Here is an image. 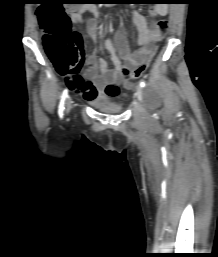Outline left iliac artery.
<instances>
[{"label":"left iliac artery","instance_id":"1","mask_svg":"<svg viewBox=\"0 0 218 257\" xmlns=\"http://www.w3.org/2000/svg\"><path fill=\"white\" fill-rule=\"evenodd\" d=\"M145 85H146V84H145L144 81H141V82H140V86H141V87H145Z\"/></svg>","mask_w":218,"mask_h":257}]
</instances>
